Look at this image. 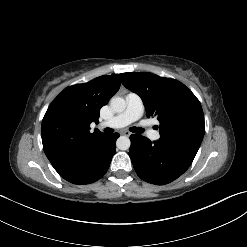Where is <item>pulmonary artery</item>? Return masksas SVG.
Instances as JSON below:
<instances>
[{"label": "pulmonary artery", "mask_w": 247, "mask_h": 247, "mask_svg": "<svg viewBox=\"0 0 247 247\" xmlns=\"http://www.w3.org/2000/svg\"><path fill=\"white\" fill-rule=\"evenodd\" d=\"M144 112V105L141 97L133 92L126 95V108L123 112L112 119L102 123L103 126L112 128H122L138 120ZM149 138L157 140L159 133L154 130L148 132Z\"/></svg>", "instance_id": "1"}]
</instances>
